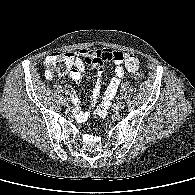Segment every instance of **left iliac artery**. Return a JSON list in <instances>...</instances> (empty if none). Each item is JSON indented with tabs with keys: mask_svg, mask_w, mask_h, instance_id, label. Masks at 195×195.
Instances as JSON below:
<instances>
[{
	"mask_svg": "<svg viewBox=\"0 0 195 195\" xmlns=\"http://www.w3.org/2000/svg\"><path fill=\"white\" fill-rule=\"evenodd\" d=\"M120 99H123V95L120 96Z\"/></svg>",
	"mask_w": 195,
	"mask_h": 195,
	"instance_id": "obj_1",
	"label": "left iliac artery"
}]
</instances>
